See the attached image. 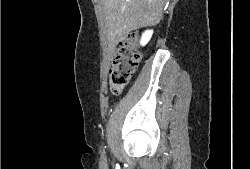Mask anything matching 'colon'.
I'll list each match as a JSON object with an SVG mask.
<instances>
[{
	"label": "colon",
	"mask_w": 250,
	"mask_h": 169,
	"mask_svg": "<svg viewBox=\"0 0 250 169\" xmlns=\"http://www.w3.org/2000/svg\"><path fill=\"white\" fill-rule=\"evenodd\" d=\"M136 39L138 34H128L119 41L108 75L109 89L113 94H120L138 69L141 55Z\"/></svg>",
	"instance_id": "obj_1"
}]
</instances>
